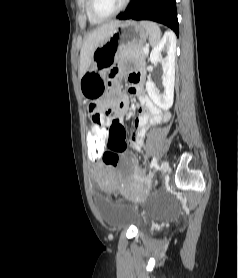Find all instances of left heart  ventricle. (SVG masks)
I'll return each instance as SVG.
<instances>
[{"instance_id": "left-heart-ventricle-1", "label": "left heart ventricle", "mask_w": 238, "mask_h": 278, "mask_svg": "<svg viewBox=\"0 0 238 278\" xmlns=\"http://www.w3.org/2000/svg\"><path fill=\"white\" fill-rule=\"evenodd\" d=\"M123 0H96L95 7L99 14L106 15L115 11Z\"/></svg>"}]
</instances>
